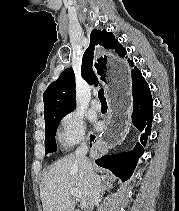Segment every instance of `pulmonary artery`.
Wrapping results in <instances>:
<instances>
[{
  "mask_svg": "<svg viewBox=\"0 0 179 211\" xmlns=\"http://www.w3.org/2000/svg\"><path fill=\"white\" fill-rule=\"evenodd\" d=\"M91 106L95 111H100L102 109V105L96 97L92 100Z\"/></svg>",
  "mask_w": 179,
  "mask_h": 211,
  "instance_id": "e3ab8cb5",
  "label": "pulmonary artery"
}]
</instances>
